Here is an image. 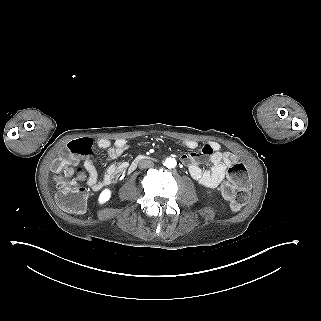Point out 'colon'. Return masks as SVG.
Masks as SVG:
<instances>
[{"mask_svg":"<svg viewBox=\"0 0 321 321\" xmlns=\"http://www.w3.org/2000/svg\"><path fill=\"white\" fill-rule=\"evenodd\" d=\"M93 156V142L89 138L73 140L61 150L52 165L56 185L59 188L57 201L61 208L72 214L85 211L87 192L82 186L85 170L79 166L83 157ZM250 179L242 162L232 164L227 173L224 196L232 211H239L249 199Z\"/></svg>","mask_w":321,"mask_h":321,"instance_id":"5ec220e1","label":"colon"}]
</instances>
